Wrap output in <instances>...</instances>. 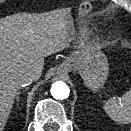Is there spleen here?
<instances>
[{
    "label": "spleen",
    "mask_w": 131,
    "mask_h": 131,
    "mask_svg": "<svg viewBox=\"0 0 131 131\" xmlns=\"http://www.w3.org/2000/svg\"><path fill=\"white\" fill-rule=\"evenodd\" d=\"M103 109L112 120L120 124L131 123V89L119 99H109Z\"/></svg>",
    "instance_id": "3e777b00"
}]
</instances>
